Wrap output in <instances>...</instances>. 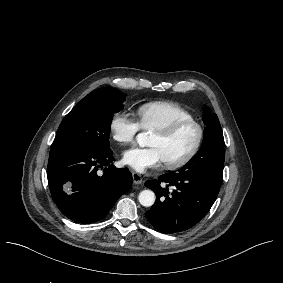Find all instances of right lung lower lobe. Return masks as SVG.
I'll return each mask as SVG.
<instances>
[{
  "label": "right lung lower lobe",
  "mask_w": 283,
  "mask_h": 283,
  "mask_svg": "<svg viewBox=\"0 0 283 283\" xmlns=\"http://www.w3.org/2000/svg\"><path fill=\"white\" fill-rule=\"evenodd\" d=\"M113 152L87 148L50 151L47 177L60 211L78 223L103 219L117 199L127 193L132 175L127 168L110 165ZM103 170V175L101 176Z\"/></svg>",
  "instance_id": "98d812e1"
}]
</instances>
